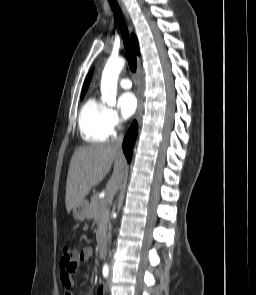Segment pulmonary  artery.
<instances>
[{
	"mask_svg": "<svg viewBox=\"0 0 256 295\" xmlns=\"http://www.w3.org/2000/svg\"><path fill=\"white\" fill-rule=\"evenodd\" d=\"M120 86L123 88V89H130L132 87V82L129 78L125 77V78H122L120 80Z\"/></svg>",
	"mask_w": 256,
	"mask_h": 295,
	"instance_id": "1",
	"label": "pulmonary artery"
}]
</instances>
